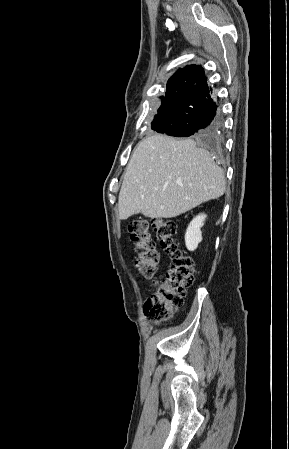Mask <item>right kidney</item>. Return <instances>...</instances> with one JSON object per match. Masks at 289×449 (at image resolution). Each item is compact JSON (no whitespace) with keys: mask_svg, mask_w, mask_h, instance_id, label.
Listing matches in <instances>:
<instances>
[{"mask_svg":"<svg viewBox=\"0 0 289 449\" xmlns=\"http://www.w3.org/2000/svg\"><path fill=\"white\" fill-rule=\"evenodd\" d=\"M206 215L200 214L193 218L185 233V244L189 251H194L202 241L201 227L204 225Z\"/></svg>","mask_w":289,"mask_h":449,"instance_id":"right-kidney-1","label":"right kidney"}]
</instances>
